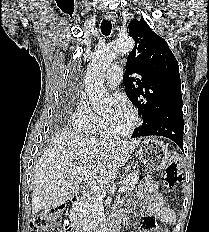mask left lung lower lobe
Wrapping results in <instances>:
<instances>
[{"mask_svg":"<svg viewBox=\"0 0 209 232\" xmlns=\"http://www.w3.org/2000/svg\"><path fill=\"white\" fill-rule=\"evenodd\" d=\"M183 128L182 108H172L160 112L147 124L136 128L132 138L162 136L174 141L183 150Z\"/></svg>","mask_w":209,"mask_h":232,"instance_id":"obj_1","label":"left lung lower lobe"}]
</instances>
